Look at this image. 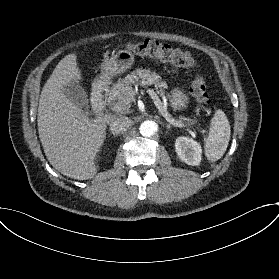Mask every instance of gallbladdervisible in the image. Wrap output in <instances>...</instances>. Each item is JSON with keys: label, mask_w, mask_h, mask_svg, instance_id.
<instances>
[{"label": "gallbladder", "mask_w": 279, "mask_h": 279, "mask_svg": "<svg viewBox=\"0 0 279 279\" xmlns=\"http://www.w3.org/2000/svg\"><path fill=\"white\" fill-rule=\"evenodd\" d=\"M65 94L70 100L76 102L82 110H88V97L86 91L78 84V82L69 85L65 89Z\"/></svg>", "instance_id": "1"}]
</instances>
